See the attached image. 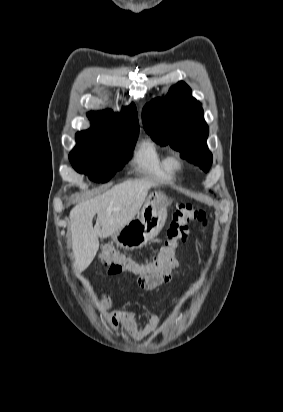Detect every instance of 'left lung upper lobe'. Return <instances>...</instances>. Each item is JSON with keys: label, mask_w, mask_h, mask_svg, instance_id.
<instances>
[{"label": "left lung upper lobe", "mask_w": 283, "mask_h": 412, "mask_svg": "<svg viewBox=\"0 0 283 412\" xmlns=\"http://www.w3.org/2000/svg\"><path fill=\"white\" fill-rule=\"evenodd\" d=\"M142 120L144 129L156 143L170 144L199 170L210 169L212 154L206 145L209 129L203 109L184 82L172 87L164 99L156 98L146 104Z\"/></svg>", "instance_id": "left-lung-upper-lobe-1"}]
</instances>
